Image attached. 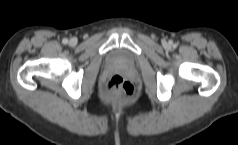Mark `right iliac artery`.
Here are the masks:
<instances>
[{"mask_svg":"<svg viewBox=\"0 0 238 145\" xmlns=\"http://www.w3.org/2000/svg\"><path fill=\"white\" fill-rule=\"evenodd\" d=\"M63 44H67L68 43V40L65 38L62 40Z\"/></svg>","mask_w":238,"mask_h":145,"instance_id":"82829eb1","label":"right iliac artery"}]
</instances>
